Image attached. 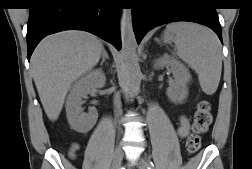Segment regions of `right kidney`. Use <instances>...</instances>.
Returning <instances> with one entry per match:
<instances>
[{
  "instance_id": "ca27d5eb",
  "label": "right kidney",
  "mask_w": 252,
  "mask_h": 169,
  "mask_svg": "<svg viewBox=\"0 0 252 169\" xmlns=\"http://www.w3.org/2000/svg\"><path fill=\"white\" fill-rule=\"evenodd\" d=\"M106 77L102 70H93L80 78L72 86L66 101V113L71 127L81 133H86L95 125L98 113L92 110L84 113L82 104L90 89L105 83Z\"/></svg>"
}]
</instances>
